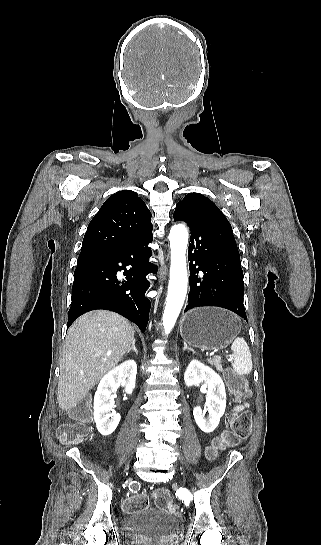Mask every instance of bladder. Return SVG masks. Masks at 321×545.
<instances>
[{"label": "bladder", "mask_w": 321, "mask_h": 545, "mask_svg": "<svg viewBox=\"0 0 321 545\" xmlns=\"http://www.w3.org/2000/svg\"><path fill=\"white\" fill-rule=\"evenodd\" d=\"M123 529L133 543L164 541L177 533L179 523L176 517L161 509L144 508L127 514Z\"/></svg>", "instance_id": "bladder-1"}]
</instances>
